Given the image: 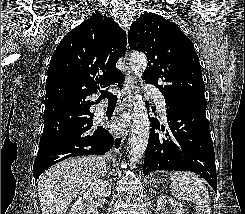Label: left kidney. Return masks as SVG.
<instances>
[{"label": "left kidney", "mask_w": 245, "mask_h": 214, "mask_svg": "<svg viewBox=\"0 0 245 214\" xmlns=\"http://www.w3.org/2000/svg\"><path fill=\"white\" fill-rule=\"evenodd\" d=\"M170 204L173 207V214H187L183 208V205L178 201H175L169 196H162L157 201L156 214H170L171 209H166V205Z\"/></svg>", "instance_id": "obj_1"}]
</instances>
